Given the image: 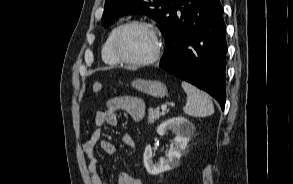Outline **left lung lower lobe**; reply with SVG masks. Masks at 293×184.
I'll return each mask as SVG.
<instances>
[{
  "mask_svg": "<svg viewBox=\"0 0 293 184\" xmlns=\"http://www.w3.org/2000/svg\"><path fill=\"white\" fill-rule=\"evenodd\" d=\"M159 66L205 90L224 108L227 44L219 0H178Z\"/></svg>",
  "mask_w": 293,
  "mask_h": 184,
  "instance_id": "0a47b994",
  "label": "left lung lower lobe"
}]
</instances>
